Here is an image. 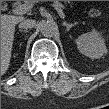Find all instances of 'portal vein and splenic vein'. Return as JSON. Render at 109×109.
<instances>
[{"label":"portal vein and splenic vein","instance_id":"18ae733b","mask_svg":"<svg viewBox=\"0 0 109 109\" xmlns=\"http://www.w3.org/2000/svg\"><path fill=\"white\" fill-rule=\"evenodd\" d=\"M33 6H34V2H26V3L18 6L17 8H15L13 10V13L24 14V13L28 12L29 10H31L33 8ZM52 6L57 10L59 16L61 18H64V13H63L64 6L59 4L56 1L52 3Z\"/></svg>","mask_w":109,"mask_h":109}]
</instances>
